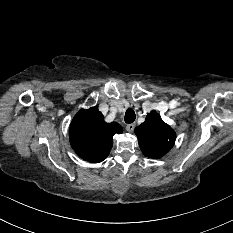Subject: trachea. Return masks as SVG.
Instances as JSON below:
<instances>
[{
  "mask_svg": "<svg viewBox=\"0 0 233 233\" xmlns=\"http://www.w3.org/2000/svg\"><path fill=\"white\" fill-rule=\"evenodd\" d=\"M135 118H136V115H135L134 110L131 109V108L128 109V110L126 111L125 117H124L125 122H126V123H133L134 120H135Z\"/></svg>",
  "mask_w": 233,
  "mask_h": 233,
  "instance_id": "3493384b",
  "label": "trachea"
}]
</instances>
